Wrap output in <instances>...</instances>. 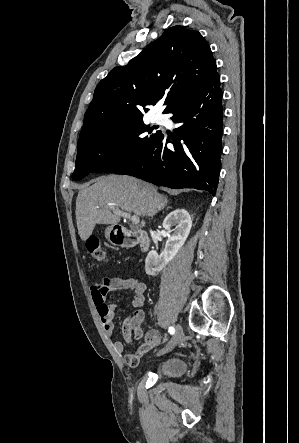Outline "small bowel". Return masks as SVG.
Masks as SVG:
<instances>
[{"label": "small bowel", "instance_id": "1", "mask_svg": "<svg viewBox=\"0 0 299 443\" xmlns=\"http://www.w3.org/2000/svg\"><path fill=\"white\" fill-rule=\"evenodd\" d=\"M130 290L133 292L130 304L137 308L133 313H130L123 321L122 334L127 343H131L133 338L143 339L133 353L123 355L124 362L134 367L137 365L141 356L153 349L160 343V333L156 329H151L145 334L141 330V323L144 320V312L141 309L145 301V284L137 278H103L100 281L94 282L90 285V294L93 304L96 306L98 314L100 315L102 326L106 334L110 338L115 337L114 330V313L118 308L117 303H106V294L111 291ZM113 349L116 353L122 354L124 351V344L122 341L115 340L113 342Z\"/></svg>", "mask_w": 299, "mask_h": 443}]
</instances>
